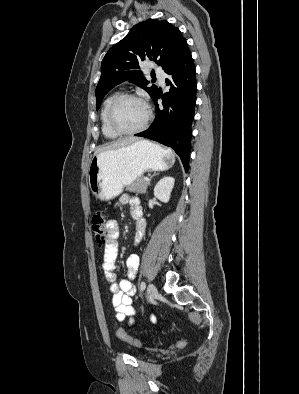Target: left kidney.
I'll list each match as a JSON object with an SVG mask.
<instances>
[{
  "label": "left kidney",
  "mask_w": 299,
  "mask_h": 394,
  "mask_svg": "<svg viewBox=\"0 0 299 394\" xmlns=\"http://www.w3.org/2000/svg\"><path fill=\"white\" fill-rule=\"evenodd\" d=\"M175 179L173 177L162 178L154 187V196L161 202L167 203L170 199Z\"/></svg>",
  "instance_id": "obj_1"
}]
</instances>
